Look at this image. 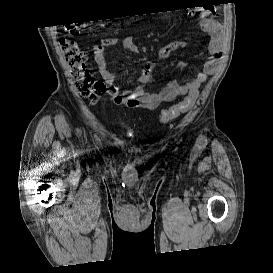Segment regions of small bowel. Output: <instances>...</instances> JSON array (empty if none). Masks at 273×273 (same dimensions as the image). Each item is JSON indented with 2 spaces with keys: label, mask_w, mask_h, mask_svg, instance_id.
Listing matches in <instances>:
<instances>
[{
  "label": "small bowel",
  "mask_w": 273,
  "mask_h": 273,
  "mask_svg": "<svg viewBox=\"0 0 273 273\" xmlns=\"http://www.w3.org/2000/svg\"><path fill=\"white\" fill-rule=\"evenodd\" d=\"M200 27L210 35L208 46L209 58L205 62L203 69L196 76L184 83L176 80L168 82L163 88L156 92H149L145 89L146 85L151 82V73L154 64L145 63L143 71L138 78V85L128 89L123 93L120 92L117 82L119 75L112 73L108 68V59L105 54V47L113 46L118 43L116 38H106L100 44L92 49L99 72L109 86L107 94L115 105L125 106L127 108H142L147 110H155L164 102L175 100L178 96H184L188 93H196L197 89L209 76L217 69L222 52L224 42V29L221 23L215 20L209 11L199 14ZM187 42L181 40L171 41L157 51L158 59L168 58L174 51L187 47ZM123 48L128 53H138L139 48L135 44L133 38L126 37L123 39ZM185 64H179L178 70L183 71Z\"/></svg>",
  "instance_id": "obj_1"
}]
</instances>
